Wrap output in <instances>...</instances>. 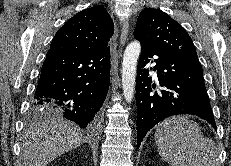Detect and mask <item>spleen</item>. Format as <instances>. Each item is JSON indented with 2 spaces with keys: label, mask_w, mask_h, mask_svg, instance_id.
Segmentation results:
<instances>
[{
  "label": "spleen",
  "mask_w": 231,
  "mask_h": 166,
  "mask_svg": "<svg viewBox=\"0 0 231 166\" xmlns=\"http://www.w3.org/2000/svg\"><path fill=\"white\" fill-rule=\"evenodd\" d=\"M155 142L162 159L171 166H221L215 142L187 116L177 115L158 124Z\"/></svg>",
  "instance_id": "obj_1"
}]
</instances>
